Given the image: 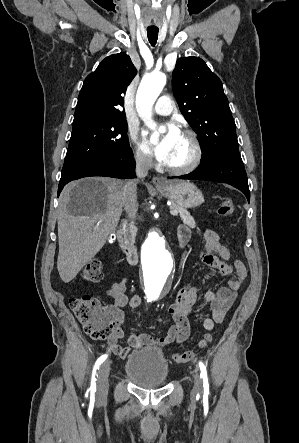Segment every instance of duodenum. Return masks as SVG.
I'll list each match as a JSON object with an SVG mask.
<instances>
[{
  "label": "duodenum",
  "mask_w": 299,
  "mask_h": 443,
  "mask_svg": "<svg viewBox=\"0 0 299 443\" xmlns=\"http://www.w3.org/2000/svg\"><path fill=\"white\" fill-rule=\"evenodd\" d=\"M117 243L121 251L126 255L127 261L130 265H136L138 260V254L136 249L130 245L126 238V233L124 230H118L116 233ZM184 243H181L183 245Z\"/></svg>",
  "instance_id": "410a0bca"
}]
</instances>
